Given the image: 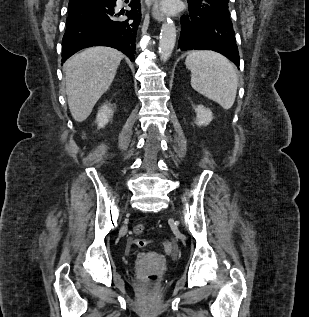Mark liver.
I'll list each match as a JSON object with an SVG mask.
<instances>
[{
  "instance_id": "liver-1",
  "label": "liver",
  "mask_w": 309,
  "mask_h": 317,
  "mask_svg": "<svg viewBox=\"0 0 309 317\" xmlns=\"http://www.w3.org/2000/svg\"><path fill=\"white\" fill-rule=\"evenodd\" d=\"M123 54L110 47H91L64 64L70 112L77 122L91 114L94 105L110 87Z\"/></svg>"
}]
</instances>
